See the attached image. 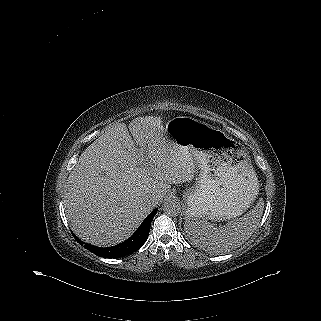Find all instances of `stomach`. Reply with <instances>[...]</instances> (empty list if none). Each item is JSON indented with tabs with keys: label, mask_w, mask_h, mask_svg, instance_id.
I'll list each match as a JSON object with an SVG mask.
<instances>
[{
	"label": "stomach",
	"mask_w": 321,
	"mask_h": 321,
	"mask_svg": "<svg viewBox=\"0 0 321 321\" xmlns=\"http://www.w3.org/2000/svg\"><path fill=\"white\" fill-rule=\"evenodd\" d=\"M164 130L200 169L196 186L183 194L187 219H232L249 208L257 196L258 181L244 149L223 131L192 117H175Z\"/></svg>",
	"instance_id": "obj_1"
}]
</instances>
